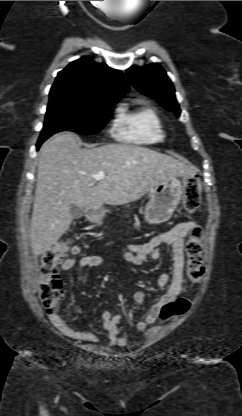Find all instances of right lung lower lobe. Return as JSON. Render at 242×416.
<instances>
[{
    "label": "right lung lower lobe",
    "mask_w": 242,
    "mask_h": 416,
    "mask_svg": "<svg viewBox=\"0 0 242 416\" xmlns=\"http://www.w3.org/2000/svg\"><path fill=\"white\" fill-rule=\"evenodd\" d=\"M44 141H45V140H38V143H37V149H39L40 145H41Z\"/></svg>",
    "instance_id": "98d812e1"
}]
</instances>
